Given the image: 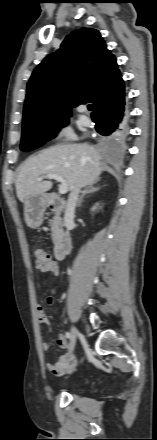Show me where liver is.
<instances>
[{"label": "liver", "instance_id": "liver-1", "mask_svg": "<svg viewBox=\"0 0 157 440\" xmlns=\"http://www.w3.org/2000/svg\"><path fill=\"white\" fill-rule=\"evenodd\" d=\"M102 156L99 149L83 144H59L42 150L27 159L16 179V194L23 202L27 196L43 195L52 188V182L38 178L46 174L62 176L72 191L99 180L102 172Z\"/></svg>", "mask_w": 157, "mask_h": 440}]
</instances>
